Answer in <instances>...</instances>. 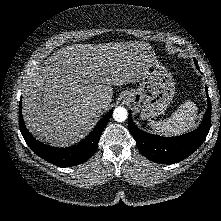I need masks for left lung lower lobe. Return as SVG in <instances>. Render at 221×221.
<instances>
[{
    "label": "left lung lower lobe",
    "mask_w": 221,
    "mask_h": 221,
    "mask_svg": "<svg viewBox=\"0 0 221 221\" xmlns=\"http://www.w3.org/2000/svg\"><path fill=\"white\" fill-rule=\"evenodd\" d=\"M198 67V64L196 65ZM208 92V91H207ZM211 124V105L201 125L194 131L176 137H163L144 132L134 124L131 114L128 118L129 130L136 140L139 151L151 161L162 164H175L195 152L206 139Z\"/></svg>",
    "instance_id": "0a47b994"
}]
</instances>
